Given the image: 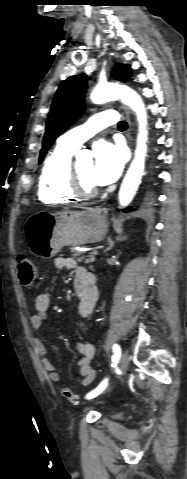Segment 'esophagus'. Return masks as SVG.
I'll list each match as a JSON object with an SVG mask.
<instances>
[{"label":"esophagus","instance_id":"1","mask_svg":"<svg viewBox=\"0 0 187 479\" xmlns=\"http://www.w3.org/2000/svg\"><path fill=\"white\" fill-rule=\"evenodd\" d=\"M125 112H126V116H127V118H128L129 124H130V115H129V111H128L127 108H125ZM128 138H129V140H131L130 127H129Z\"/></svg>","mask_w":187,"mask_h":479}]
</instances>
